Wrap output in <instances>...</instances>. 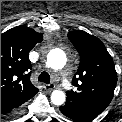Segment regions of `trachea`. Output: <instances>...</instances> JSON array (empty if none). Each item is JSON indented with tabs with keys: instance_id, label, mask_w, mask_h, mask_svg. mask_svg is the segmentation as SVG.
I'll return each instance as SVG.
<instances>
[{
	"instance_id": "3493384b",
	"label": "trachea",
	"mask_w": 122,
	"mask_h": 122,
	"mask_svg": "<svg viewBox=\"0 0 122 122\" xmlns=\"http://www.w3.org/2000/svg\"><path fill=\"white\" fill-rule=\"evenodd\" d=\"M38 81L49 84L50 83V75L44 71L39 75Z\"/></svg>"
}]
</instances>
